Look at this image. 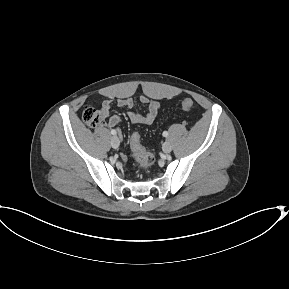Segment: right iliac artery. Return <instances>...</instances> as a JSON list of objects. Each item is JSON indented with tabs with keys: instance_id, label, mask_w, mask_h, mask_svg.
<instances>
[{
	"instance_id": "82829eb1",
	"label": "right iliac artery",
	"mask_w": 289,
	"mask_h": 289,
	"mask_svg": "<svg viewBox=\"0 0 289 289\" xmlns=\"http://www.w3.org/2000/svg\"><path fill=\"white\" fill-rule=\"evenodd\" d=\"M116 133H117L116 130H114V129L111 130L112 135H116Z\"/></svg>"
}]
</instances>
